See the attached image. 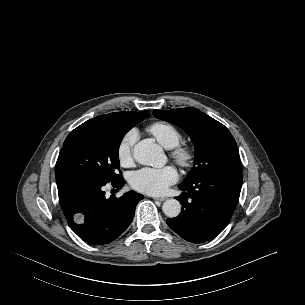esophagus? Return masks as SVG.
Wrapping results in <instances>:
<instances>
[{"label":"esophagus","instance_id":"obj_1","mask_svg":"<svg viewBox=\"0 0 305 305\" xmlns=\"http://www.w3.org/2000/svg\"><path fill=\"white\" fill-rule=\"evenodd\" d=\"M154 200H158L160 202H163V201L167 200V198L166 197H154Z\"/></svg>","mask_w":305,"mask_h":305}]
</instances>
